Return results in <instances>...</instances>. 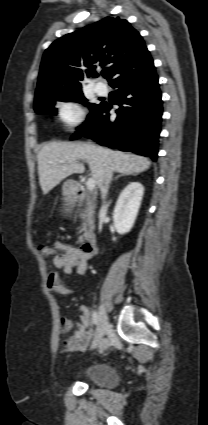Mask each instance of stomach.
Returning <instances> with one entry per match:
<instances>
[{
  "mask_svg": "<svg viewBox=\"0 0 208 425\" xmlns=\"http://www.w3.org/2000/svg\"><path fill=\"white\" fill-rule=\"evenodd\" d=\"M77 184L73 180H67L63 184V195L65 200L70 201L76 196Z\"/></svg>",
  "mask_w": 208,
  "mask_h": 425,
  "instance_id": "0dacf381",
  "label": "stomach"
}]
</instances>
